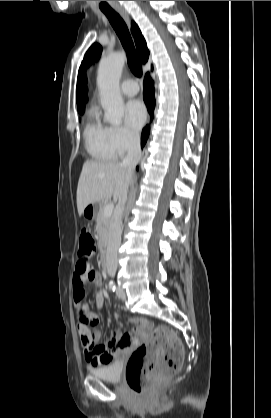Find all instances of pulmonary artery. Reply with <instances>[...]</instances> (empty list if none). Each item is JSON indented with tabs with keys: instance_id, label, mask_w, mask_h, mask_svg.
I'll list each match as a JSON object with an SVG mask.
<instances>
[{
	"instance_id": "pulmonary-artery-1",
	"label": "pulmonary artery",
	"mask_w": 271,
	"mask_h": 418,
	"mask_svg": "<svg viewBox=\"0 0 271 418\" xmlns=\"http://www.w3.org/2000/svg\"><path fill=\"white\" fill-rule=\"evenodd\" d=\"M121 91L126 96H135L139 91V86L136 81L127 79L122 82Z\"/></svg>"
}]
</instances>
